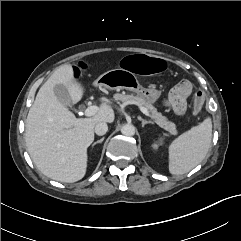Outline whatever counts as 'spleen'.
Returning <instances> with one entry per match:
<instances>
[{"mask_svg":"<svg viewBox=\"0 0 241 241\" xmlns=\"http://www.w3.org/2000/svg\"><path fill=\"white\" fill-rule=\"evenodd\" d=\"M212 139V121L206 118L171 142L169 152V172L182 175L199 163L207 155Z\"/></svg>","mask_w":241,"mask_h":241,"instance_id":"1","label":"spleen"}]
</instances>
